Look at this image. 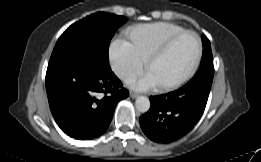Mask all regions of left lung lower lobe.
<instances>
[{"label": "left lung lower lobe", "instance_id": "0a47b994", "mask_svg": "<svg viewBox=\"0 0 261 162\" xmlns=\"http://www.w3.org/2000/svg\"><path fill=\"white\" fill-rule=\"evenodd\" d=\"M214 74H199L177 91L151 96V107L140 117L144 134L157 143H169L189 133L202 116Z\"/></svg>", "mask_w": 261, "mask_h": 162}]
</instances>
